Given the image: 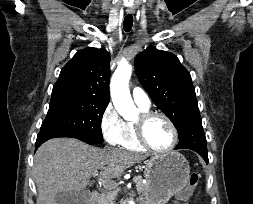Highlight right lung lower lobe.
<instances>
[{"instance_id":"1","label":"right lung lower lobe","mask_w":253,"mask_h":204,"mask_svg":"<svg viewBox=\"0 0 253 204\" xmlns=\"http://www.w3.org/2000/svg\"><path fill=\"white\" fill-rule=\"evenodd\" d=\"M55 137H72V138H77L81 141H84L88 144H91V145H95L94 143L86 140V139H83L79 136H76V135H71V134H66V133H63V132H58V131H50V130H41L40 133L38 134L37 136V140H36V143H35V150L42 144L44 143L45 141L51 139V138H55Z\"/></svg>"}]
</instances>
